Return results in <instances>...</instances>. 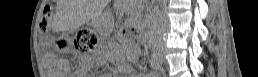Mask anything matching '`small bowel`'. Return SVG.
<instances>
[{
	"label": "small bowel",
	"instance_id": "1",
	"mask_svg": "<svg viewBox=\"0 0 258 77\" xmlns=\"http://www.w3.org/2000/svg\"><path fill=\"white\" fill-rule=\"evenodd\" d=\"M46 47H49L48 42H46ZM137 52L135 50L130 51V57L131 58H136L137 57ZM49 58V55L47 56ZM55 64H56V68L58 70H64L67 69V65L66 62L63 59H55ZM57 73H64V71H57Z\"/></svg>",
	"mask_w": 258,
	"mask_h": 77
}]
</instances>
